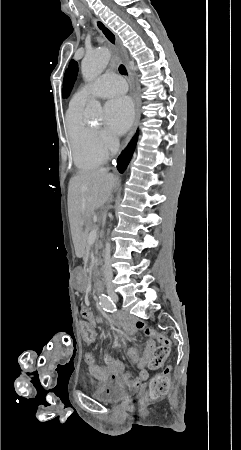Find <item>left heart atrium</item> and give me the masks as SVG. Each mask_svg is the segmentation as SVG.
Listing matches in <instances>:
<instances>
[{
  "label": "left heart atrium",
  "instance_id": "1",
  "mask_svg": "<svg viewBox=\"0 0 241 450\" xmlns=\"http://www.w3.org/2000/svg\"><path fill=\"white\" fill-rule=\"evenodd\" d=\"M108 128L115 135L125 133L134 121V106L128 96L122 95L116 102L107 104Z\"/></svg>",
  "mask_w": 241,
  "mask_h": 450
}]
</instances>
